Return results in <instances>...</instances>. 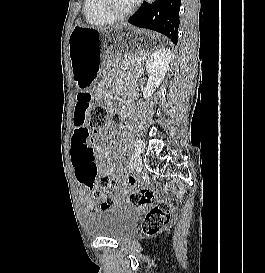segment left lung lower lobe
<instances>
[{
  "label": "left lung lower lobe",
  "instance_id": "left-lung-lower-lobe-1",
  "mask_svg": "<svg viewBox=\"0 0 265 273\" xmlns=\"http://www.w3.org/2000/svg\"><path fill=\"white\" fill-rule=\"evenodd\" d=\"M180 0H156L143 4L129 19V23L166 35L177 44Z\"/></svg>",
  "mask_w": 265,
  "mask_h": 273
}]
</instances>
